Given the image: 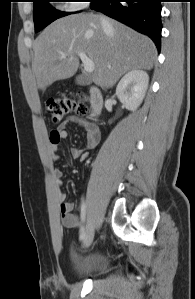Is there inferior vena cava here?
<instances>
[{
	"label": "inferior vena cava",
	"instance_id": "1",
	"mask_svg": "<svg viewBox=\"0 0 195 299\" xmlns=\"http://www.w3.org/2000/svg\"><path fill=\"white\" fill-rule=\"evenodd\" d=\"M100 20H101V25H102L103 29L110 30L111 25H110L109 20L104 16H100Z\"/></svg>",
	"mask_w": 195,
	"mask_h": 299
}]
</instances>
